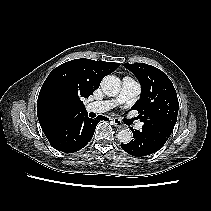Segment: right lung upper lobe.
<instances>
[{
  "label": "right lung upper lobe",
  "instance_id": "right-lung-upper-lobe-1",
  "mask_svg": "<svg viewBox=\"0 0 211 211\" xmlns=\"http://www.w3.org/2000/svg\"><path fill=\"white\" fill-rule=\"evenodd\" d=\"M119 63L75 59L55 68L43 83L37 101V116L42 130L59 118L83 114V99L99 88L101 80L115 71Z\"/></svg>",
  "mask_w": 211,
  "mask_h": 211
}]
</instances>
